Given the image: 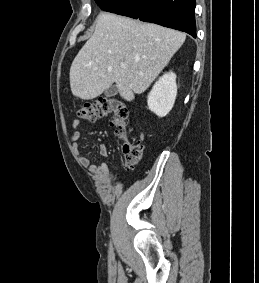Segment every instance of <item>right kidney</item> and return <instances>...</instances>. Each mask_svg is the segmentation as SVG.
<instances>
[{
    "label": "right kidney",
    "instance_id": "1",
    "mask_svg": "<svg viewBox=\"0 0 259 283\" xmlns=\"http://www.w3.org/2000/svg\"><path fill=\"white\" fill-rule=\"evenodd\" d=\"M177 95L176 74L165 73L156 81L147 99L148 108L159 117L172 109Z\"/></svg>",
    "mask_w": 259,
    "mask_h": 283
}]
</instances>
